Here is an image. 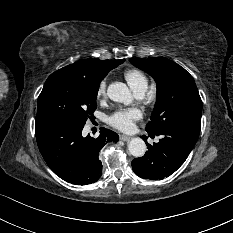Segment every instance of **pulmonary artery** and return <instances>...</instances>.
I'll return each instance as SVG.
<instances>
[{
  "label": "pulmonary artery",
  "mask_w": 233,
  "mask_h": 233,
  "mask_svg": "<svg viewBox=\"0 0 233 233\" xmlns=\"http://www.w3.org/2000/svg\"><path fill=\"white\" fill-rule=\"evenodd\" d=\"M136 96L140 98L142 96V93H136Z\"/></svg>",
  "instance_id": "e3ab8cb5"
}]
</instances>
